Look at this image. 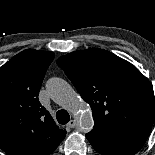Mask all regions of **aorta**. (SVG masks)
Wrapping results in <instances>:
<instances>
[{"label":"aorta","instance_id":"aorta-1","mask_svg":"<svg viewBox=\"0 0 155 155\" xmlns=\"http://www.w3.org/2000/svg\"><path fill=\"white\" fill-rule=\"evenodd\" d=\"M51 98L60 106L72 112L83 132L93 129L94 121L89 105L78 97L68 82L61 78H51L47 82Z\"/></svg>","mask_w":155,"mask_h":155}]
</instances>
